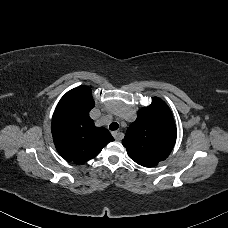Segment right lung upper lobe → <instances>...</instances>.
<instances>
[{
	"label": "right lung upper lobe",
	"instance_id": "cb5924a9",
	"mask_svg": "<svg viewBox=\"0 0 228 228\" xmlns=\"http://www.w3.org/2000/svg\"><path fill=\"white\" fill-rule=\"evenodd\" d=\"M94 107L89 87L67 92L59 101L52 118V135L59 154L67 161L84 163L114 141L104 127H96L89 116Z\"/></svg>",
	"mask_w": 228,
	"mask_h": 228
}]
</instances>
